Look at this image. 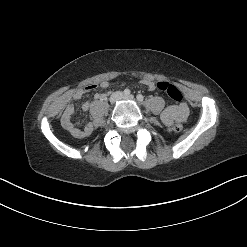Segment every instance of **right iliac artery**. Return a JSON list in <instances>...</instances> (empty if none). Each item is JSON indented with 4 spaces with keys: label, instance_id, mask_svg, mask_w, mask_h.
<instances>
[{
    "label": "right iliac artery",
    "instance_id": "82829eb1",
    "mask_svg": "<svg viewBox=\"0 0 247 247\" xmlns=\"http://www.w3.org/2000/svg\"><path fill=\"white\" fill-rule=\"evenodd\" d=\"M124 95H126V96L130 95V90L129 89H125L124 90Z\"/></svg>",
    "mask_w": 247,
    "mask_h": 247
}]
</instances>
